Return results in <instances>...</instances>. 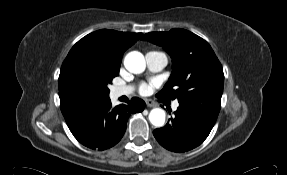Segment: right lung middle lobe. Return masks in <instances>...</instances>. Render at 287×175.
Masks as SVG:
<instances>
[{
    "label": "right lung middle lobe",
    "mask_w": 287,
    "mask_h": 175,
    "mask_svg": "<svg viewBox=\"0 0 287 175\" xmlns=\"http://www.w3.org/2000/svg\"><path fill=\"white\" fill-rule=\"evenodd\" d=\"M119 72L99 68L87 52L78 53L59 78L60 107L64 116L85 111L109 98L108 84Z\"/></svg>",
    "instance_id": "obj_1"
}]
</instances>
